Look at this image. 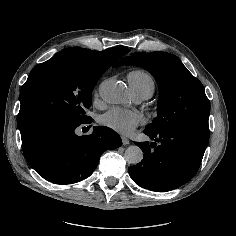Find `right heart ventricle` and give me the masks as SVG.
<instances>
[{
  "label": "right heart ventricle",
  "instance_id": "1",
  "mask_svg": "<svg viewBox=\"0 0 236 236\" xmlns=\"http://www.w3.org/2000/svg\"><path fill=\"white\" fill-rule=\"evenodd\" d=\"M128 81L133 94H140L150 98L155 92V81L153 77L144 70L129 72Z\"/></svg>",
  "mask_w": 236,
  "mask_h": 236
}]
</instances>
